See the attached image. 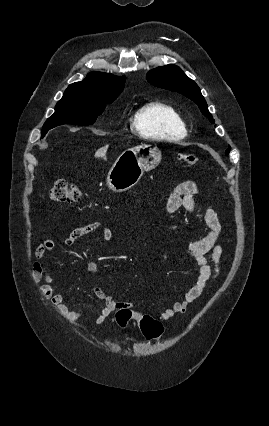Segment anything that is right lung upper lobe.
I'll use <instances>...</instances> for the list:
<instances>
[{"instance_id":"obj_1","label":"right lung upper lobe","mask_w":269,"mask_h":426,"mask_svg":"<svg viewBox=\"0 0 269 426\" xmlns=\"http://www.w3.org/2000/svg\"><path fill=\"white\" fill-rule=\"evenodd\" d=\"M125 79L124 76L92 72L83 81L69 85L64 94L117 98L124 88Z\"/></svg>"}]
</instances>
